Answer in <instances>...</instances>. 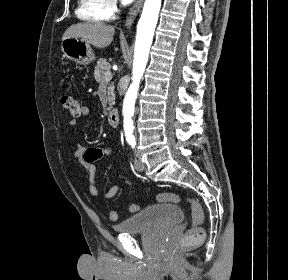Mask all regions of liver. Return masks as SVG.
I'll list each match as a JSON object with an SVG mask.
<instances>
[{
    "label": "liver",
    "instance_id": "1",
    "mask_svg": "<svg viewBox=\"0 0 288 280\" xmlns=\"http://www.w3.org/2000/svg\"><path fill=\"white\" fill-rule=\"evenodd\" d=\"M115 29L100 22L78 23L71 25L64 33L62 40L77 38L97 48H105L113 40Z\"/></svg>",
    "mask_w": 288,
    "mask_h": 280
}]
</instances>
